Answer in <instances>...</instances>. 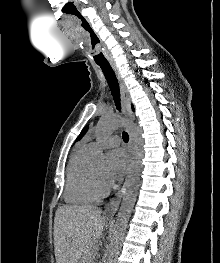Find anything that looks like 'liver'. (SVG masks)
<instances>
[{
	"instance_id": "6515ba94",
	"label": "liver",
	"mask_w": 220,
	"mask_h": 263,
	"mask_svg": "<svg viewBox=\"0 0 220 263\" xmlns=\"http://www.w3.org/2000/svg\"><path fill=\"white\" fill-rule=\"evenodd\" d=\"M104 227L105 219L95 206L58 207L54 219L56 263H91Z\"/></svg>"
}]
</instances>
